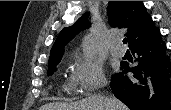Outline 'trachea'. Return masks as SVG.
<instances>
[{
    "mask_svg": "<svg viewBox=\"0 0 171 110\" xmlns=\"http://www.w3.org/2000/svg\"><path fill=\"white\" fill-rule=\"evenodd\" d=\"M127 41H128L127 38H124V39H123V43H124V44H126Z\"/></svg>",
    "mask_w": 171,
    "mask_h": 110,
    "instance_id": "trachea-1",
    "label": "trachea"
}]
</instances>
